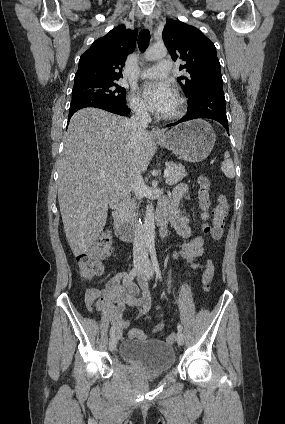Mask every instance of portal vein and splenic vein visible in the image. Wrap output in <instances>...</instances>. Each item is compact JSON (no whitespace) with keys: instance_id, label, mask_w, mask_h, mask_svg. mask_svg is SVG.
I'll return each mask as SVG.
<instances>
[{"instance_id":"18ae733b","label":"portal vein and splenic vein","mask_w":285,"mask_h":424,"mask_svg":"<svg viewBox=\"0 0 285 424\" xmlns=\"http://www.w3.org/2000/svg\"><path fill=\"white\" fill-rule=\"evenodd\" d=\"M170 171H171V167H169V166H168V167L165 169V172H164V177H165V178H167V177L169 176ZM100 176H101V177H105V176H106V172H101V173H100Z\"/></svg>"}]
</instances>
